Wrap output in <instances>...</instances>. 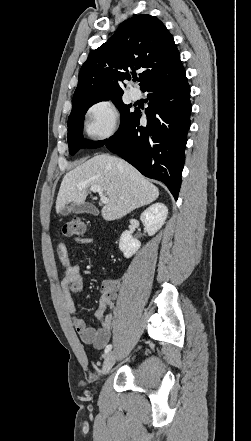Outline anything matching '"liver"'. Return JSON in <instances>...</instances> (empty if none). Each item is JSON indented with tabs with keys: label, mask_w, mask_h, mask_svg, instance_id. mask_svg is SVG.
<instances>
[{
	"label": "liver",
	"mask_w": 251,
	"mask_h": 441,
	"mask_svg": "<svg viewBox=\"0 0 251 441\" xmlns=\"http://www.w3.org/2000/svg\"><path fill=\"white\" fill-rule=\"evenodd\" d=\"M93 185H99L108 196L109 203L102 208V217L106 221L120 219L159 196L158 188L132 165L101 154L66 173L58 192L56 212L59 214L69 203L83 204Z\"/></svg>",
	"instance_id": "liver-1"
}]
</instances>
